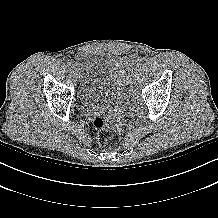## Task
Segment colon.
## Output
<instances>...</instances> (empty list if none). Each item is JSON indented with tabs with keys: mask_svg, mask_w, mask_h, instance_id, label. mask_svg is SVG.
Segmentation results:
<instances>
[{
	"mask_svg": "<svg viewBox=\"0 0 218 218\" xmlns=\"http://www.w3.org/2000/svg\"><path fill=\"white\" fill-rule=\"evenodd\" d=\"M95 140L99 145H104L112 139V132L102 115L95 116L93 120Z\"/></svg>",
	"mask_w": 218,
	"mask_h": 218,
	"instance_id": "5ec220e1",
	"label": "colon"
}]
</instances>
